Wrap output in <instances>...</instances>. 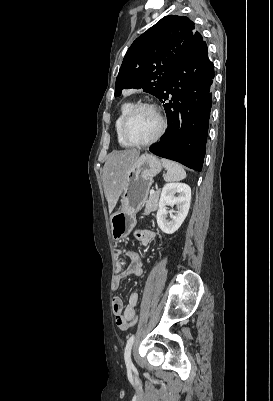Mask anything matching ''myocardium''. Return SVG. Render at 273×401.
Returning a JSON list of instances; mask_svg holds the SVG:
<instances>
[{
  "mask_svg": "<svg viewBox=\"0 0 273 401\" xmlns=\"http://www.w3.org/2000/svg\"><path fill=\"white\" fill-rule=\"evenodd\" d=\"M141 109L150 110L158 116V118L160 120V129L153 138L146 140V141L138 142V141H133L127 137L126 128H127L129 121L133 117V115ZM166 130H167V122H166L165 117L163 116L160 109L156 105L150 104V103H138V104L134 105L131 108V110L127 113L125 118L123 119V121L121 123V127H120V133H121L122 139L127 144H129L130 146H133V147H145V146H149V145L159 141L164 136Z\"/></svg>",
  "mask_w": 273,
  "mask_h": 401,
  "instance_id": "myocardium-1",
  "label": "myocardium"
}]
</instances>
